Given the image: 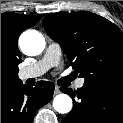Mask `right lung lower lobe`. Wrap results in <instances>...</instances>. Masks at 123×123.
<instances>
[{"instance_id":"1","label":"right lung lower lobe","mask_w":123,"mask_h":123,"mask_svg":"<svg viewBox=\"0 0 123 123\" xmlns=\"http://www.w3.org/2000/svg\"><path fill=\"white\" fill-rule=\"evenodd\" d=\"M54 84L39 81L28 87L22 83L1 85V123H33L36 110L53 97Z\"/></svg>"}]
</instances>
